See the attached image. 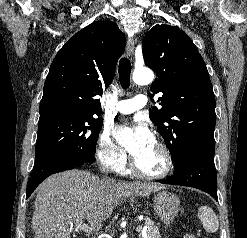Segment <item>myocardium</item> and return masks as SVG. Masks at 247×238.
I'll use <instances>...</instances> for the list:
<instances>
[{"mask_svg":"<svg viewBox=\"0 0 247 238\" xmlns=\"http://www.w3.org/2000/svg\"><path fill=\"white\" fill-rule=\"evenodd\" d=\"M154 144L160 150L163 159H164V167L159 173H147L142 171L136 164L135 160L132 159L130 166L132 172L138 177L148 179V180H159L167 177L173 168V158L168 147L161 141L155 140Z\"/></svg>","mask_w":247,"mask_h":238,"instance_id":"f54148a6","label":"myocardium"}]
</instances>
